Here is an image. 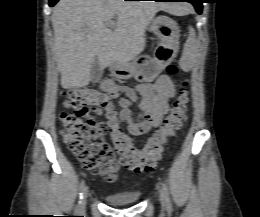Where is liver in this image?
I'll return each mask as SVG.
<instances>
[{"label":"liver","mask_w":260,"mask_h":217,"mask_svg":"<svg viewBox=\"0 0 260 217\" xmlns=\"http://www.w3.org/2000/svg\"><path fill=\"white\" fill-rule=\"evenodd\" d=\"M159 10L172 15L187 12L184 5L124 0H60L51 20L61 86L85 87L91 65L102 69L134 60L145 48V32ZM116 19L114 31L107 23Z\"/></svg>","instance_id":"liver-1"}]
</instances>
